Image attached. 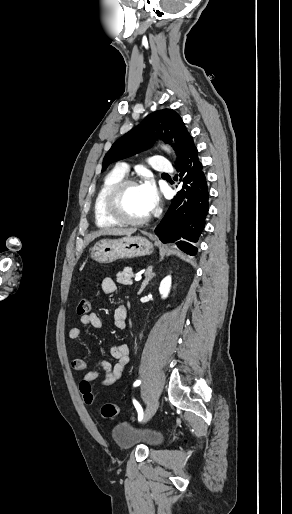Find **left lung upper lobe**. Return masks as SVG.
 Instances as JSON below:
<instances>
[{"mask_svg":"<svg viewBox=\"0 0 292 514\" xmlns=\"http://www.w3.org/2000/svg\"><path fill=\"white\" fill-rule=\"evenodd\" d=\"M163 140L176 152L178 165L184 153L193 143L179 114L172 109H163L149 114L134 129L119 138L103 159L102 171L113 162L133 156L150 148L156 140Z\"/></svg>","mask_w":292,"mask_h":514,"instance_id":"left-lung-upper-lobe-1","label":"left lung upper lobe"}]
</instances>
